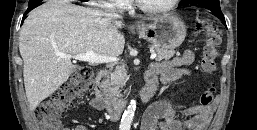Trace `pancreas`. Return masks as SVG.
I'll return each instance as SVG.
<instances>
[{
    "label": "pancreas",
    "mask_w": 257,
    "mask_h": 130,
    "mask_svg": "<svg viewBox=\"0 0 257 130\" xmlns=\"http://www.w3.org/2000/svg\"><path fill=\"white\" fill-rule=\"evenodd\" d=\"M150 49L156 52L157 54L156 59L159 61L169 60L175 54L174 49L162 48L155 45L150 46ZM127 80H128V76H127L125 66H118L115 72L111 74L110 85L114 95L119 96V89L125 86V83Z\"/></svg>",
    "instance_id": "1"
}]
</instances>
